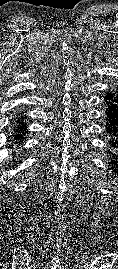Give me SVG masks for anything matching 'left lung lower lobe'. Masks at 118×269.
I'll return each mask as SVG.
<instances>
[{
  "label": "left lung lower lobe",
  "instance_id": "1",
  "mask_svg": "<svg viewBox=\"0 0 118 269\" xmlns=\"http://www.w3.org/2000/svg\"><path fill=\"white\" fill-rule=\"evenodd\" d=\"M106 106V132L112 162L118 159V92L108 91L104 97ZM117 165L114 162V166Z\"/></svg>",
  "mask_w": 118,
  "mask_h": 269
}]
</instances>
